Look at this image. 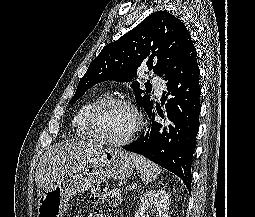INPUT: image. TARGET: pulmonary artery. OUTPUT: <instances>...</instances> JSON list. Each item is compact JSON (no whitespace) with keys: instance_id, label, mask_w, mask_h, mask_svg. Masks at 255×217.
<instances>
[{"instance_id":"obj_1","label":"pulmonary artery","mask_w":255,"mask_h":217,"mask_svg":"<svg viewBox=\"0 0 255 217\" xmlns=\"http://www.w3.org/2000/svg\"><path fill=\"white\" fill-rule=\"evenodd\" d=\"M151 83L154 86L157 95L160 96L164 88V81L159 77H153Z\"/></svg>"}]
</instances>
